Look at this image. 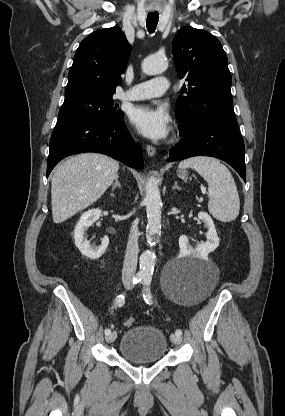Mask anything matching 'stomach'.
<instances>
[{"label": "stomach", "mask_w": 285, "mask_h": 416, "mask_svg": "<svg viewBox=\"0 0 285 416\" xmlns=\"http://www.w3.org/2000/svg\"><path fill=\"white\" fill-rule=\"evenodd\" d=\"M177 176L178 178H182V180H186L188 176L187 170H182V168H180V170H177Z\"/></svg>", "instance_id": "stomach-1"}]
</instances>
